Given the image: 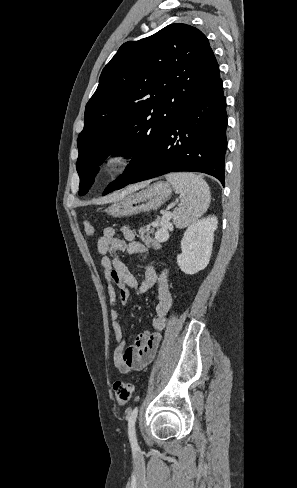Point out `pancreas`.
<instances>
[{
    "label": "pancreas",
    "mask_w": 297,
    "mask_h": 488,
    "mask_svg": "<svg viewBox=\"0 0 297 488\" xmlns=\"http://www.w3.org/2000/svg\"><path fill=\"white\" fill-rule=\"evenodd\" d=\"M156 223H157L158 226H161V225H163L164 222H163V220L161 218H158L156 220ZM167 226H168V223H167ZM143 232L152 233V231H148V230H144ZM148 241L151 242V241H153V239L152 238H148Z\"/></svg>",
    "instance_id": "cf45deb5"
}]
</instances>
